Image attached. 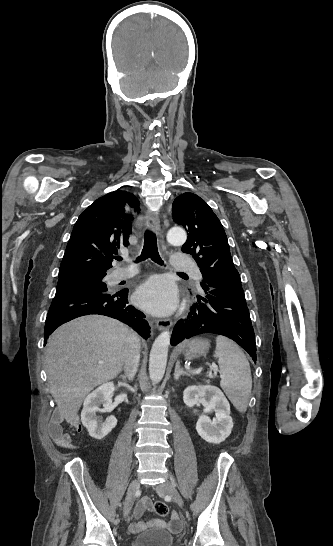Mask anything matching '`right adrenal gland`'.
I'll return each mask as SVG.
<instances>
[{
	"instance_id": "right-adrenal-gland-1",
	"label": "right adrenal gland",
	"mask_w": 333,
	"mask_h": 546,
	"mask_svg": "<svg viewBox=\"0 0 333 546\" xmlns=\"http://www.w3.org/2000/svg\"><path fill=\"white\" fill-rule=\"evenodd\" d=\"M120 378H122V381H123L124 383L127 382V378H126L125 375H121Z\"/></svg>"
}]
</instances>
